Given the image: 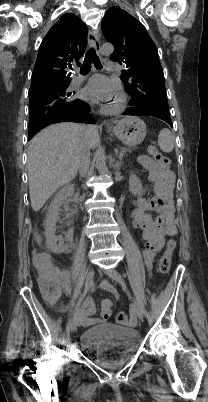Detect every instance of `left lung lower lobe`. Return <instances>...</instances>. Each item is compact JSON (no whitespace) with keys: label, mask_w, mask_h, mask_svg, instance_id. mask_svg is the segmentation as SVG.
Masks as SVG:
<instances>
[{"label":"left lung lower lobe","mask_w":208,"mask_h":402,"mask_svg":"<svg viewBox=\"0 0 208 402\" xmlns=\"http://www.w3.org/2000/svg\"><path fill=\"white\" fill-rule=\"evenodd\" d=\"M123 115H146V116H154L159 119L164 120L167 122L171 127H173L172 121L169 117L168 114L155 110V109H149V108H142V107H135V106H130L124 113Z\"/></svg>","instance_id":"0a47b994"}]
</instances>
